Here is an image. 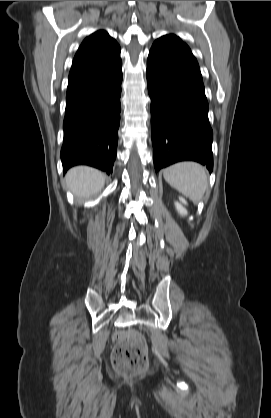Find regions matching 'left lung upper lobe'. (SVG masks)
I'll return each mask as SVG.
<instances>
[{"mask_svg": "<svg viewBox=\"0 0 271 418\" xmlns=\"http://www.w3.org/2000/svg\"><path fill=\"white\" fill-rule=\"evenodd\" d=\"M165 37H169V38L175 39V40H177V41H179V42L183 43V42L181 41V39H180L179 37L175 36V35L170 34V35H166ZM183 44H184V45H186L185 43H183ZM186 46H187V45H186ZM187 47H188V46H187Z\"/></svg>", "mask_w": 271, "mask_h": 418, "instance_id": "obj_1", "label": "left lung upper lobe"}]
</instances>
